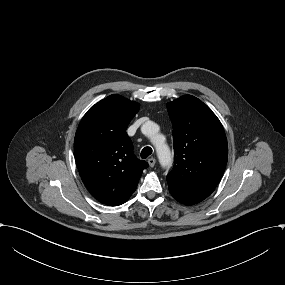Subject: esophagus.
Listing matches in <instances>:
<instances>
[{"label": "esophagus", "instance_id": "obj_1", "mask_svg": "<svg viewBox=\"0 0 285 285\" xmlns=\"http://www.w3.org/2000/svg\"><path fill=\"white\" fill-rule=\"evenodd\" d=\"M155 163H156V160H155L154 158H149V159H148V164H149L151 167H153V166L155 165Z\"/></svg>", "mask_w": 285, "mask_h": 285}]
</instances>
